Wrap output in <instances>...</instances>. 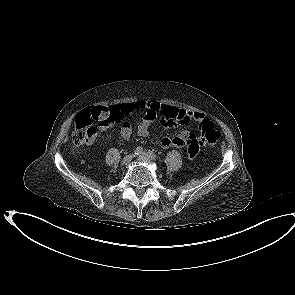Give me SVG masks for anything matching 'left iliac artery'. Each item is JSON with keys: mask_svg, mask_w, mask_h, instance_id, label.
<instances>
[{"mask_svg": "<svg viewBox=\"0 0 295 295\" xmlns=\"http://www.w3.org/2000/svg\"><path fill=\"white\" fill-rule=\"evenodd\" d=\"M147 153H148V155H149L152 159H156V158H157L156 154H155L153 151L148 150Z\"/></svg>", "mask_w": 295, "mask_h": 295, "instance_id": "obj_1", "label": "left iliac artery"}]
</instances>
